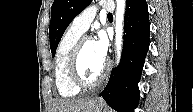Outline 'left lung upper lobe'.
Listing matches in <instances>:
<instances>
[{
  "label": "left lung upper lobe",
  "instance_id": "left-lung-upper-lobe-1",
  "mask_svg": "<svg viewBox=\"0 0 193 112\" xmlns=\"http://www.w3.org/2000/svg\"><path fill=\"white\" fill-rule=\"evenodd\" d=\"M91 0H55L51 8L49 25L50 48L54 57L58 43L70 22L89 4Z\"/></svg>",
  "mask_w": 193,
  "mask_h": 112
}]
</instances>
